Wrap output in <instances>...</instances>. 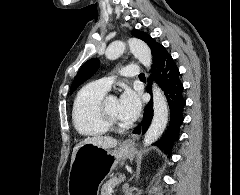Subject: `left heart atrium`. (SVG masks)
Returning a JSON list of instances; mask_svg holds the SVG:
<instances>
[{"label": "left heart atrium", "mask_w": 240, "mask_h": 195, "mask_svg": "<svg viewBox=\"0 0 240 195\" xmlns=\"http://www.w3.org/2000/svg\"><path fill=\"white\" fill-rule=\"evenodd\" d=\"M120 114L125 121H134L141 110L140 96L131 89H127L123 92L119 99Z\"/></svg>", "instance_id": "obj_1"}]
</instances>
